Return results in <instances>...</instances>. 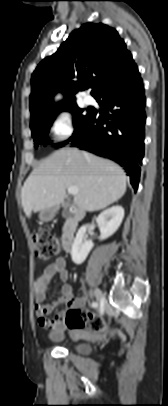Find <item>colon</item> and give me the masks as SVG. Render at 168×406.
<instances>
[{
    "instance_id": "obj_1",
    "label": "colon",
    "mask_w": 168,
    "mask_h": 406,
    "mask_svg": "<svg viewBox=\"0 0 168 406\" xmlns=\"http://www.w3.org/2000/svg\"><path fill=\"white\" fill-rule=\"evenodd\" d=\"M35 256L40 261H47L60 253L61 243L59 239L47 230H39L33 233ZM65 321L72 327H85L93 332H103L106 327L102 317L97 313L68 310Z\"/></svg>"
}]
</instances>
